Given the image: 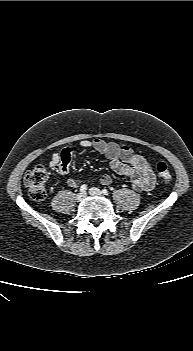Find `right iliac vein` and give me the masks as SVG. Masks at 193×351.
I'll list each match as a JSON object with an SVG mask.
<instances>
[{"instance_id": "right-iliac-vein-1", "label": "right iliac vein", "mask_w": 193, "mask_h": 351, "mask_svg": "<svg viewBox=\"0 0 193 351\" xmlns=\"http://www.w3.org/2000/svg\"><path fill=\"white\" fill-rule=\"evenodd\" d=\"M85 197H86V193L85 192H80V193L77 194L76 200L81 202V201H83L85 199Z\"/></svg>"}]
</instances>
